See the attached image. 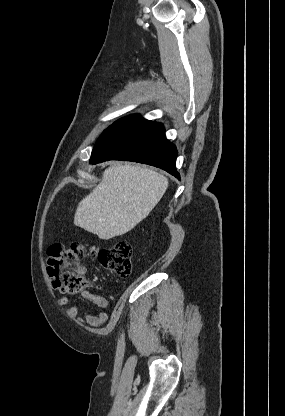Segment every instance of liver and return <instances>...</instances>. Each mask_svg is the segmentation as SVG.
<instances>
[{
  "label": "liver",
  "instance_id": "1",
  "mask_svg": "<svg viewBox=\"0 0 285 416\" xmlns=\"http://www.w3.org/2000/svg\"><path fill=\"white\" fill-rule=\"evenodd\" d=\"M168 184L165 176L149 168L111 166L101 184L78 204L74 224L100 240L127 234L152 212Z\"/></svg>",
  "mask_w": 285,
  "mask_h": 416
}]
</instances>
